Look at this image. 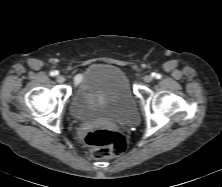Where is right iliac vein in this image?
I'll return each mask as SVG.
<instances>
[{
  "mask_svg": "<svg viewBox=\"0 0 222 187\" xmlns=\"http://www.w3.org/2000/svg\"><path fill=\"white\" fill-rule=\"evenodd\" d=\"M56 81H57L58 83H63V82L65 81V78H64L63 75H58V76L56 77Z\"/></svg>",
  "mask_w": 222,
  "mask_h": 187,
  "instance_id": "1",
  "label": "right iliac vein"
}]
</instances>
